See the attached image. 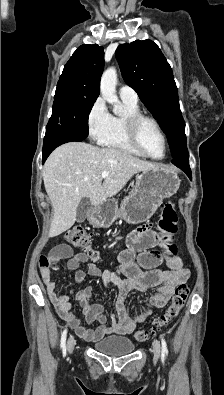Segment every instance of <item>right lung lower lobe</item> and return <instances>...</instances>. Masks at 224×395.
I'll list each match as a JSON object with an SVG mask.
<instances>
[{"label": "right lung lower lobe", "instance_id": "1", "mask_svg": "<svg viewBox=\"0 0 224 395\" xmlns=\"http://www.w3.org/2000/svg\"><path fill=\"white\" fill-rule=\"evenodd\" d=\"M82 138L76 137L62 129H47L44 137L42 164L45 162L50 153L58 146L72 141H82Z\"/></svg>", "mask_w": 224, "mask_h": 395}]
</instances>
